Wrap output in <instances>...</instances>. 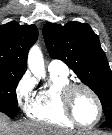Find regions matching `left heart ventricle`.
I'll return each instance as SVG.
<instances>
[{
	"mask_svg": "<svg viewBox=\"0 0 112 135\" xmlns=\"http://www.w3.org/2000/svg\"><path fill=\"white\" fill-rule=\"evenodd\" d=\"M72 107L75 116L83 124L92 123L98 115V108L94 98L84 89H77L74 92Z\"/></svg>",
	"mask_w": 112,
	"mask_h": 135,
	"instance_id": "obj_1",
	"label": "left heart ventricle"
}]
</instances>
